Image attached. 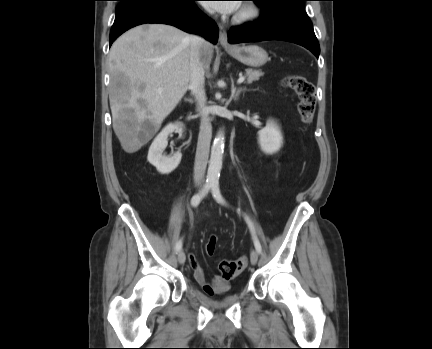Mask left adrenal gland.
Returning a JSON list of instances; mask_svg holds the SVG:
<instances>
[{
  "label": "left adrenal gland",
  "instance_id": "obj_1",
  "mask_svg": "<svg viewBox=\"0 0 432 349\" xmlns=\"http://www.w3.org/2000/svg\"><path fill=\"white\" fill-rule=\"evenodd\" d=\"M244 91H246L245 87H240V88L236 89V87L234 86V82L232 81L231 98L234 99V101L238 100L239 95Z\"/></svg>",
  "mask_w": 432,
  "mask_h": 349
}]
</instances>
